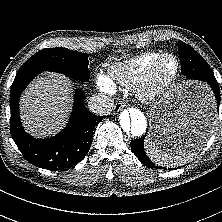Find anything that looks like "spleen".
<instances>
[{
    "label": "spleen",
    "instance_id": "obj_1",
    "mask_svg": "<svg viewBox=\"0 0 222 222\" xmlns=\"http://www.w3.org/2000/svg\"><path fill=\"white\" fill-rule=\"evenodd\" d=\"M144 147L147 155L152 161L165 167L182 166L195 155V152L183 150L175 151L172 148H165L149 137L145 139Z\"/></svg>",
    "mask_w": 222,
    "mask_h": 222
}]
</instances>
